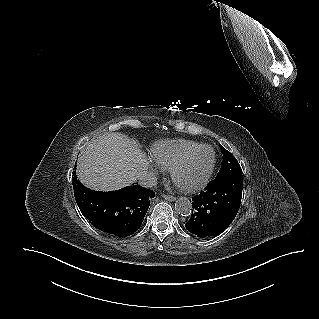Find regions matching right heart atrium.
I'll list each match as a JSON object with an SVG mask.
<instances>
[{
	"instance_id": "1",
	"label": "right heart atrium",
	"mask_w": 319,
	"mask_h": 319,
	"mask_svg": "<svg viewBox=\"0 0 319 319\" xmlns=\"http://www.w3.org/2000/svg\"><path fill=\"white\" fill-rule=\"evenodd\" d=\"M149 167H150V171H151L154 175L160 174L161 169H160V167H159L156 163L151 162L150 165H149Z\"/></svg>"
}]
</instances>
